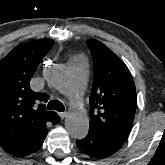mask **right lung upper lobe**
<instances>
[{
    "mask_svg": "<svg viewBox=\"0 0 165 165\" xmlns=\"http://www.w3.org/2000/svg\"><path fill=\"white\" fill-rule=\"evenodd\" d=\"M54 45L41 39L16 46L0 61V145L8 153L40 136L57 118L48 112L47 94L31 90L29 83L42 58Z\"/></svg>",
    "mask_w": 165,
    "mask_h": 165,
    "instance_id": "1",
    "label": "right lung upper lobe"
}]
</instances>
